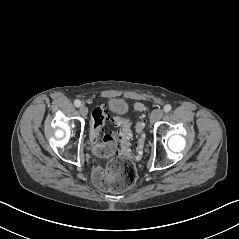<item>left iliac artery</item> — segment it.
<instances>
[{
  "instance_id": "1",
  "label": "left iliac artery",
  "mask_w": 239,
  "mask_h": 239,
  "mask_svg": "<svg viewBox=\"0 0 239 239\" xmlns=\"http://www.w3.org/2000/svg\"><path fill=\"white\" fill-rule=\"evenodd\" d=\"M163 109H164V112L168 113L171 111L172 107H171V105L166 104Z\"/></svg>"
}]
</instances>
